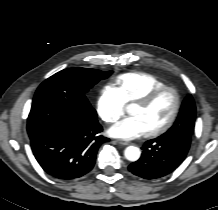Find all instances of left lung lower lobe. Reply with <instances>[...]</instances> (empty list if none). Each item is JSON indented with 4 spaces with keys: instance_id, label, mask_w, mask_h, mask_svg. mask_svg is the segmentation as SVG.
<instances>
[{
    "instance_id": "1",
    "label": "left lung lower lobe",
    "mask_w": 218,
    "mask_h": 210,
    "mask_svg": "<svg viewBox=\"0 0 218 210\" xmlns=\"http://www.w3.org/2000/svg\"><path fill=\"white\" fill-rule=\"evenodd\" d=\"M190 141L180 138L158 137L147 141L142 147L141 158L130 164L128 169L144 179H156L174 171L185 159Z\"/></svg>"
}]
</instances>
